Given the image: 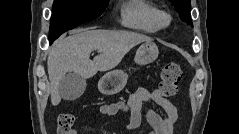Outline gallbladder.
Segmentation results:
<instances>
[{
	"mask_svg": "<svg viewBox=\"0 0 239 134\" xmlns=\"http://www.w3.org/2000/svg\"><path fill=\"white\" fill-rule=\"evenodd\" d=\"M86 79L76 73L67 74L59 84V93L64 100H75L85 91Z\"/></svg>",
	"mask_w": 239,
	"mask_h": 134,
	"instance_id": "obj_1",
	"label": "gallbladder"
}]
</instances>
